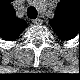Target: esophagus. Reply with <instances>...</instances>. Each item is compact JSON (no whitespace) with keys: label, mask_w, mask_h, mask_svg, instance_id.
Masks as SVG:
<instances>
[{"label":"esophagus","mask_w":80,"mask_h":80,"mask_svg":"<svg viewBox=\"0 0 80 80\" xmlns=\"http://www.w3.org/2000/svg\"><path fill=\"white\" fill-rule=\"evenodd\" d=\"M33 23L36 24V25H40V24H42V20L39 19V18H36V19L33 20Z\"/></svg>","instance_id":"1"}]
</instances>
